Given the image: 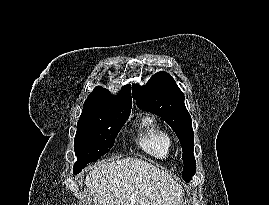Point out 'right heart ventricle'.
<instances>
[{"label":"right heart ventricle","instance_id":"right-heart-ventricle-1","mask_svg":"<svg viewBox=\"0 0 269 205\" xmlns=\"http://www.w3.org/2000/svg\"><path fill=\"white\" fill-rule=\"evenodd\" d=\"M136 142L144 153L158 160L167 159L173 148L171 135L148 116L142 118L140 122Z\"/></svg>","mask_w":269,"mask_h":205}]
</instances>
